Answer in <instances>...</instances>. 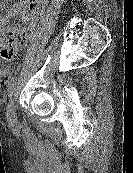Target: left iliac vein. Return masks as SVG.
Returning <instances> with one entry per match:
<instances>
[{"label":"left iliac vein","instance_id":"1","mask_svg":"<svg viewBox=\"0 0 133 173\" xmlns=\"http://www.w3.org/2000/svg\"><path fill=\"white\" fill-rule=\"evenodd\" d=\"M7 122L10 125H14L16 123V111H15V102L13 97H10L8 101V107H7Z\"/></svg>","mask_w":133,"mask_h":173}]
</instances>
